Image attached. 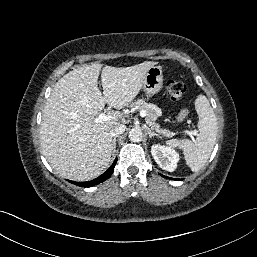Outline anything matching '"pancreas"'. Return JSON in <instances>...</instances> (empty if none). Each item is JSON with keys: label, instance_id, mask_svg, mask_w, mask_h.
Masks as SVG:
<instances>
[{"label": "pancreas", "instance_id": "obj_1", "mask_svg": "<svg viewBox=\"0 0 257 257\" xmlns=\"http://www.w3.org/2000/svg\"><path fill=\"white\" fill-rule=\"evenodd\" d=\"M130 107L133 110H144L146 112L145 121L151 129L166 137H172L174 135L173 132L160 128V125L155 122L161 115V110L156 105L138 99L133 102Z\"/></svg>", "mask_w": 257, "mask_h": 257}]
</instances>
